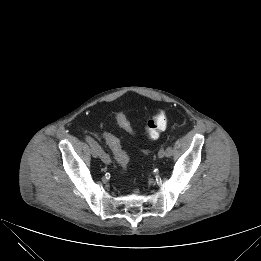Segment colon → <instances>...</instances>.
Segmentation results:
<instances>
[{
    "label": "colon",
    "instance_id": "5ec220e1",
    "mask_svg": "<svg viewBox=\"0 0 261 261\" xmlns=\"http://www.w3.org/2000/svg\"><path fill=\"white\" fill-rule=\"evenodd\" d=\"M116 122L126 132L133 134V128L125 116V114L119 112L115 115ZM168 125V117L165 111H158L146 124L144 134L149 139L157 138L162 131L166 129ZM105 139L108 147L113 153V156L118 165L125 170L128 165V156L123 150L120 140L112 133H106Z\"/></svg>",
    "mask_w": 261,
    "mask_h": 261
}]
</instances>
